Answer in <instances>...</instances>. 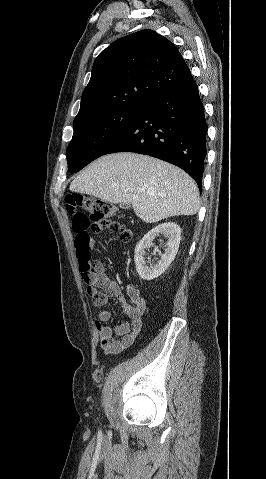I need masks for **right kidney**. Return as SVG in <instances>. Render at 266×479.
<instances>
[{
	"label": "right kidney",
	"mask_w": 266,
	"mask_h": 479,
	"mask_svg": "<svg viewBox=\"0 0 266 479\" xmlns=\"http://www.w3.org/2000/svg\"><path fill=\"white\" fill-rule=\"evenodd\" d=\"M163 234L166 238V249L162 254L161 259L156 265L148 266L146 264L145 249L149 248L153 240L159 235ZM181 240V229L174 222H166L159 224L150 230L136 245L135 248V264L136 271L143 280H153L159 277L170 266L174 260Z\"/></svg>",
	"instance_id": "ca27d5eb"
}]
</instances>
